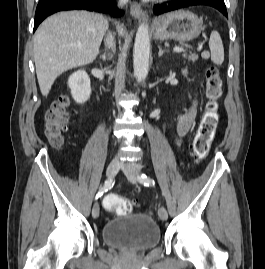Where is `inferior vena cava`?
Returning <instances> with one entry per match:
<instances>
[{
	"label": "inferior vena cava",
	"mask_w": 265,
	"mask_h": 269,
	"mask_svg": "<svg viewBox=\"0 0 265 269\" xmlns=\"http://www.w3.org/2000/svg\"><path fill=\"white\" fill-rule=\"evenodd\" d=\"M128 2V0H119V5L123 6ZM105 45L109 49H114L115 48V42H114V37L111 34H108L105 40Z\"/></svg>",
	"instance_id": "inferior-vena-cava-1"
}]
</instances>
